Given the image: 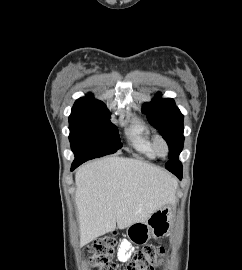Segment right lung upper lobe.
<instances>
[{
	"label": "right lung upper lobe",
	"mask_w": 242,
	"mask_h": 270,
	"mask_svg": "<svg viewBox=\"0 0 242 270\" xmlns=\"http://www.w3.org/2000/svg\"><path fill=\"white\" fill-rule=\"evenodd\" d=\"M107 110L105 104L102 101L94 100L90 96L78 99L73 108V114H87L98 111Z\"/></svg>",
	"instance_id": "right-lung-upper-lobe-1"
}]
</instances>
